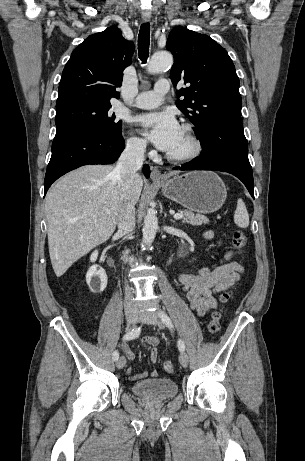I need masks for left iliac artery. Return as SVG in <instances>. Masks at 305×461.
I'll list each match as a JSON object with an SVG mask.
<instances>
[{
    "mask_svg": "<svg viewBox=\"0 0 305 461\" xmlns=\"http://www.w3.org/2000/svg\"><path fill=\"white\" fill-rule=\"evenodd\" d=\"M159 315H160V318L163 322L164 325H166V327L170 328V329H173V324H172V321L171 319L169 318V316L163 312V311H159ZM178 348L181 352H183L185 350V345L183 343V341L181 339L178 340Z\"/></svg>",
    "mask_w": 305,
    "mask_h": 461,
    "instance_id": "44dca946",
    "label": "left iliac artery"
}]
</instances>
